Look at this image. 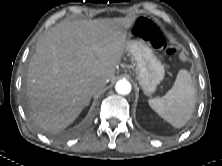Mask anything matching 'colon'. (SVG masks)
Masks as SVG:
<instances>
[{
    "mask_svg": "<svg viewBox=\"0 0 222 166\" xmlns=\"http://www.w3.org/2000/svg\"><path fill=\"white\" fill-rule=\"evenodd\" d=\"M131 33L154 48L165 51L168 55H174L176 49L169 45L167 37L161 27L149 16L143 15L134 23Z\"/></svg>",
    "mask_w": 222,
    "mask_h": 166,
    "instance_id": "obj_1",
    "label": "colon"
}]
</instances>
